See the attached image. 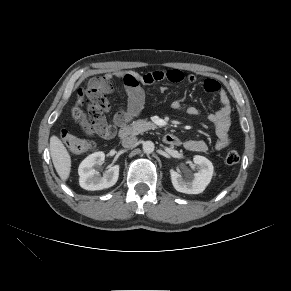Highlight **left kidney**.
I'll return each instance as SVG.
<instances>
[{
    "mask_svg": "<svg viewBox=\"0 0 291 291\" xmlns=\"http://www.w3.org/2000/svg\"><path fill=\"white\" fill-rule=\"evenodd\" d=\"M193 161L199 167V171L193 176H183L179 172L170 170L172 184L178 192L202 193L212 179L214 168L211 161L200 155H195Z\"/></svg>",
    "mask_w": 291,
    "mask_h": 291,
    "instance_id": "1",
    "label": "left kidney"
}]
</instances>
